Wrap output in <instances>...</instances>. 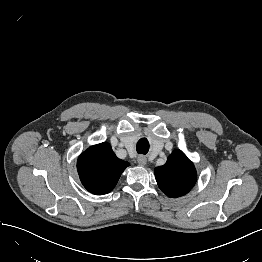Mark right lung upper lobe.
<instances>
[{
  "label": "right lung upper lobe",
  "instance_id": "obj_1",
  "mask_svg": "<svg viewBox=\"0 0 262 262\" xmlns=\"http://www.w3.org/2000/svg\"><path fill=\"white\" fill-rule=\"evenodd\" d=\"M127 166L129 163L119 159L106 142L88 148L77 161L82 184L89 192L99 195L115 187Z\"/></svg>",
  "mask_w": 262,
  "mask_h": 262
}]
</instances>
